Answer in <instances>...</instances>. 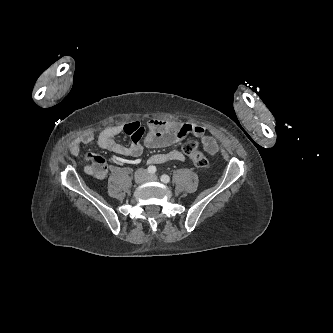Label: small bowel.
<instances>
[{
	"mask_svg": "<svg viewBox=\"0 0 333 333\" xmlns=\"http://www.w3.org/2000/svg\"><path fill=\"white\" fill-rule=\"evenodd\" d=\"M121 132L131 137L132 142L129 145H122L115 140V137ZM189 134L201 139L207 154L213 155L216 152L215 140L206 133L203 126L162 119H151L147 122L146 127H143L139 121L107 127L99 133L97 142L101 148L118 155L138 157L142 154L144 147H165L184 139ZM94 140L95 135L92 132H87L77 137L69 145L70 153L78 156L81 152V147L91 144ZM198 154L202 155L200 151H198ZM86 159L89 164L86 166L85 172L97 179L104 178L107 173L104 160L92 154H88ZM182 160H184V154L176 149L166 153L155 154L149 158L151 164Z\"/></svg>",
	"mask_w": 333,
	"mask_h": 333,
	"instance_id": "obj_1",
	"label": "small bowel"
}]
</instances>
